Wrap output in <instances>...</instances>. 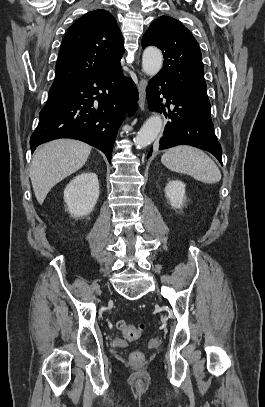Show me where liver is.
I'll return each instance as SVG.
<instances>
[{
	"instance_id": "liver-1",
	"label": "liver",
	"mask_w": 265,
	"mask_h": 407,
	"mask_svg": "<svg viewBox=\"0 0 265 407\" xmlns=\"http://www.w3.org/2000/svg\"><path fill=\"white\" fill-rule=\"evenodd\" d=\"M91 146L74 139H57L40 146L34 154L30 178L35 197L42 204L53 186L79 170Z\"/></svg>"
}]
</instances>
